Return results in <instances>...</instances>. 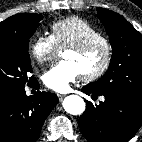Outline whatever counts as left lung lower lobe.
Returning <instances> with one entry per match:
<instances>
[{
    "label": "left lung lower lobe",
    "mask_w": 142,
    "mask_h": 142,
    "mask_svg": "<svg viewBox=\"0 0 142 142\" xmlns=\"http://www.w3.org/2000/svg\"><path fill=\"white\" fill-rule=\"evenodd\" d=\"M83 92L103 95L104 102L93 105L86 101V110L80 116L79 127L88 142H127L142 123V96L128 92L99 93L87 85Z\"/></svg>",
    "instance_id": "0a47b994"
}]
</instances>
